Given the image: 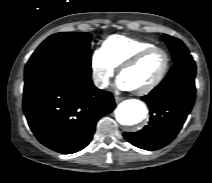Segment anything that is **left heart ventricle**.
Masks as SVG:
<instances>
[{"label": "left heart ventricle", "instance_id": "obj_1", "mask_svg": "<svg viewBox=\"0 0 212 183\" xmlns=\"http://www.w3.org/2000/svg\"><path fill=\"white\" fill-rule=\"evenodd\" d=\"M162 51H155L145 57L136 66L123 72L121 77L131 89L142 88L154 81L164 66Z\"/></svg>", "mask_w": 212, "mask_h": 183}]
</instances>
